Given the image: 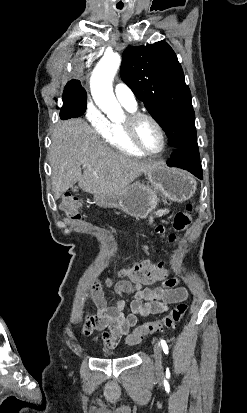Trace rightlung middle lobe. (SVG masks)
Segmentation results:
<instances>
[{
	"label": "right lung middle lobe",
	"mask_w": 247,
	"mask_h": 413,
	"mask_svg": "<svg viewBox=\"0 0 247 413\" xmlns=\"http://www.w3.org/2000/svg\"><path fill=\"white\" fill-rule=\"evenodd\" d=\"M87 93L79 80H71L63 91V106L81 116L86 111Z\"/></svg>",
	"instance_id": "dd1d6c3e"
}]
</instances>
